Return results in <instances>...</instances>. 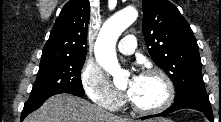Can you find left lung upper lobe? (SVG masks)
Masks as SVG:
<instances>
[{
  "instance_id": "5c2ea615",
  "label": "left lung upper lobe",
  "mask_w": 221,
  "mask_h": 122,
  "mask_svg": "<svg viewBox=\"0 0 221 122\" xmlns=\"http://www.w3.org/2000/svg\"><path fill=\"white\" fill-rule=\"evenodd\" d=\"M142 31L153 61L176 88L175 100L206 93L199 47L178 8L167 0H143Z\"/></svg>"
}]
</instances>
